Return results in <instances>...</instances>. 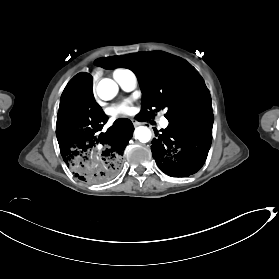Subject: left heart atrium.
<instances>
[{"label":"left heart atrium","instance_id":"obj_1","mask_svg":"<svg viewBox=\"0 0 279 279\" xmlns=\"http://www.w3.org/2000/svg\"><path fill=\"white\" fill-rule=\"evenodd\" d=\"M136 109L132 104L131 100H127L122 104L114 107L111 110V115L114 118L122 117V116H132L135 113Z\"/></svg>","mask_w":279,"mask_h":279}]
</instances>
